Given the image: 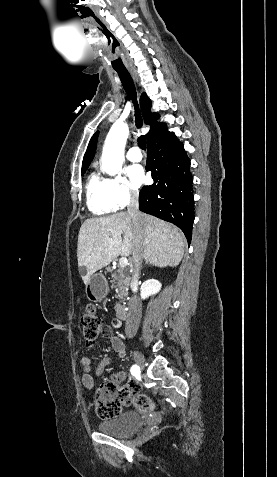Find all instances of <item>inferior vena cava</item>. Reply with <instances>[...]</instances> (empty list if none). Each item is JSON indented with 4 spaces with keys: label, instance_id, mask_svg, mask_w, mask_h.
<instances>
[{
    "label": "inferior vena cava",
    "instance_id": "602c4592",
    "mask_svg": "<svg viewBox=\"0 0 277 477\" xmlns=\"http://www.w3.org/2000/svg\"><path fill=\"white\" fill-rule=\"evenodd\" d=\"M138 197L139 195L137 192H131L130 201L127 207V213L132 218L133 227L135 230L134 251L132 256L134 271L131 281V285L135 288L138 285L140 269L143 259L142 218L141 213L139 211ZM141 310V304L139 303V300L135 295L132 297L129 303V311L125 325V333L127 337H133L137 333L141 320Z\"/></svg>",
    "mask_w": 277,
    "mask_h": 477
}]
</instances>
